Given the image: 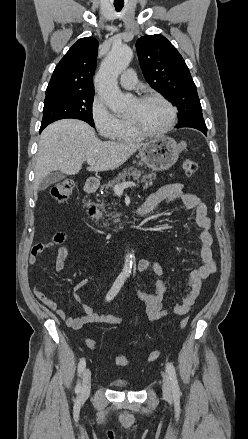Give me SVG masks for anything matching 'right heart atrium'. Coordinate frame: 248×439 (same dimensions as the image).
Returning a JSON list of instances; mask_svg holds the SVG:
<instances>
[{
  "label": "right heart atrium",
  "instance_id": "1",
  "mask_svg": "<svg viewBox=\"0 0 248 439\" xmlns=\"http://www.w3.org/2000/svg\"><path fill=\"white\" fill-rule=\"evenodd\" d=\"M91 118L99 135L110 139L118 132L121 119L108 107L106 101L100 96H95L91 104Z\"/></svg>",
  "mask_w": 248,
  "mask_h": 439
}]
</instances>
